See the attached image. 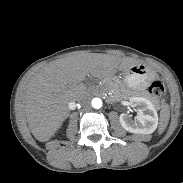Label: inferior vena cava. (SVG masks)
I'll use <instances>...</instances> for the list:
<instances>
[{"label": "inferior vena cava", "mask_w": 183, "mask_h": 183, "mask_svg": "<svg viewBox=\"0 0 183 183\" xmlns=\"http://www.w3.org/2000/svg\"><path fill=\"white\" fill-rule=\"evenodd\" d=\"M78 101L81 103V104H87L89 102V99L87 96L83 95L81 97L78 98Z\"/></svg>", "instance_id": "602c4592"}]
</instances>
